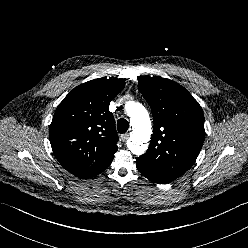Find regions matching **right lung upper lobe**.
I'll list each match as a JSON object with an SVG mask.
<instances>
[{
  "label": "right lung upper lobe",
  "instance_id": "obj_1",
  "mask_svg": "<svg viewBox=\"0 0 248 248\" xmlns=\"http://www.w3.org/2000/svg\"><path fill=\"white\" fill-rule=\"evenodd\" d=\"M121 79H94L75 87L57 107L49 128L56 159L72 174L92 178L111 164L118 147L110 101Z\"/></svg>",
  "mask_w": 248,
  "mask_h": 248
}]
</instances>
